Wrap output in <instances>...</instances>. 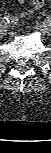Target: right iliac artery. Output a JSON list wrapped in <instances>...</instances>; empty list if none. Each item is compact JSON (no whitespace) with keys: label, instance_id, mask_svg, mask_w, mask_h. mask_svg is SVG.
<instances>
[{"label":"right iliac artery","instance_id":"obj_1","mask_svg":"<svg viewBox=\"0 0 51 153\" xmlns=\"http://www.w3.org/2000/svg\"><path fill=\"white\" fill-rule=\"evenodd\" d=\"M1 22L5 23V24L9 23L8 17H2Z\"/></svg>","mask_w":51,"mask_h":153}]
</instances>
